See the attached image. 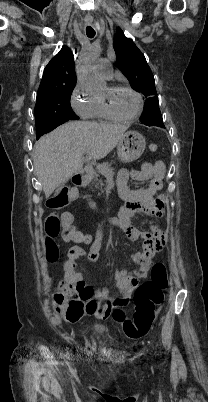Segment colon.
<instances>
[{
    "label": "colon",
    "mask_w": 208,
    "mask_h": 402,
    "mask_svg": "<svg viewBox=\"0 0 208 402\" xmlns=\"http://www.w3.org/2000/svg\"><path fill=\"white\" fill-rule=\"evenodd\" d=\"M157 144L149 143L147 149L150 153L157 151ZM45 230L43 235L45 241H48L44 250L48 258V263L56 264L61 254L60 247H57L53 238L61 237L63 240H78L76 229H71V217L65 214L63 217L59 215L50 216L45 219ZM77 244V243H76ZM85 255L86 249L74 245L68 249L66 255L67 262L73 263L78 255ZM151 277L148 281L141 284L135 291L133 302L135 306L133 319L126 316L122 306L127 301L122 298L116 299H89L83 301L82 297H75L74 288L71 282H62L60 285L61 292H54L52 298L56 301L57 313H72V306L75 311L72 318L82 317L86 314L98 313L101 315H111L113 319L120 324L124 334L130 339H138L145 336L150 330L157 314V308L164 301V291L168 285L167 267L163 262H157L153 265L150 273Z\"/></svg>",
    "instance_id": "1"
}]
</instances>
